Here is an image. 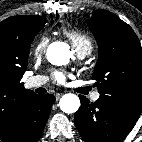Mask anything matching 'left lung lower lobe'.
Instances as JSON below:
<instances>
[{"mask_svg":"<svg viewBox=\"0 0 142 142\" xmlns=\"http://www.w3.org/2000/svg\"><path fill=\"white\" fill-rule=\"evenodd\" d=\"M75 125L85 142H120L133 129L140 113L114 106L99 98L95 103L80 95Z\"/></svg>","mask_w":142,"mask_h":142,"instance_id":"left-lung-lower-lobe-1","label":"left lung lower lobe"}]
</instances>
